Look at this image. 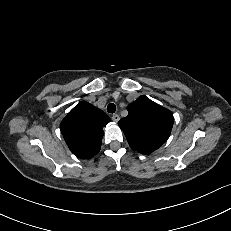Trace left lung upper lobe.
Masks as SVG:
<instances>
[{"label":"left lung upper lobe","mask_w":231,"mask_h":231,"mask_svg":"<svg viewBox=\"0 0 231 231\" xmlns=\"http://www.w3.org/2000/svg\"><path fill=\"white\" fill-rule=\"evenodd\" d=\"M127 110L128 116L118 125L133 150L150 154L168 139L173 126L171 111L146 96H140Z\"/></svg>","instance_id":"obj_1"}]
</instances>
